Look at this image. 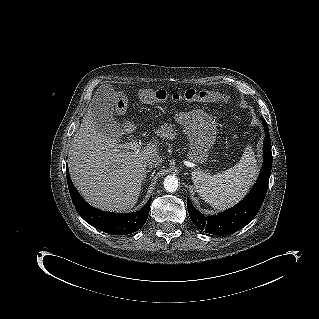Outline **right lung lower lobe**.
<instances>
[{
  "label": "right lung lower lobe",
  "instance_id": "98d812e1",
  "mask_svg": "<svg viewBox=\"0 0 319 319\" xmlns=\"http://www.w3.org/2000/svg\"><path fill=\"white\" fill-rule=\"evenodd\" d=\"M67 183L72 202L79 215L93 227L113 235H126L139 230L146 222L151 205V197L146 205L135 213H112L89 205L73 186L66 167Z\"/></svg>",
  "mask_w": 319,
  "mask_h": 319
}]
</instances>
